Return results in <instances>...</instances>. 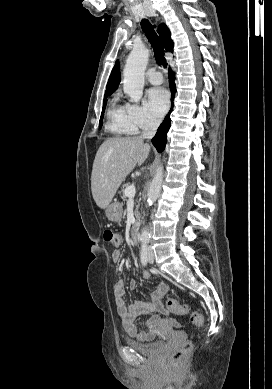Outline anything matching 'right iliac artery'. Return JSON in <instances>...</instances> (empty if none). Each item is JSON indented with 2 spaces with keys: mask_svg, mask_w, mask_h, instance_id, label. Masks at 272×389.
<instances>
[{
  "mask_svg": "<svg viewBox=\"0 0 272 389\" xmlns=\"http://www.w3.org/2000/svg\"><path fill=\"white\" fill-rule=\"evenodd\" d=\"M148 262V252H147V244L146 242L141 246V263L143 266H147Z\"/></svg>",
  "mask_w": 272,
  "mask_h": 389,
  "instance_id": "1",
  "label": "right iliac artery"
}]
</instances>
